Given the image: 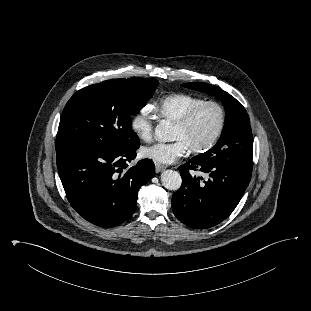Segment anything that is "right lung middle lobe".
I'll list each match as a JSON object with an SVG mask.
<instances>
[{"mask_svg": "<svg viewBox=\"0 0 311 311\" xmlns=\"http://www.w3.org/2000/svg\"><path fill=\"white\" fill-rule=\"evenodd\" d=\"M155 79L106 80L84 87L67 102L56 137V152L86 149L122 153L140 146L131 115L149 100Z\"/></svg>", "mask_w": 311, "mask_h": 311, "instance_id": "1", "label": "right lung middle lobe"}]
</instances>
